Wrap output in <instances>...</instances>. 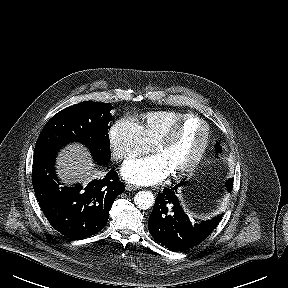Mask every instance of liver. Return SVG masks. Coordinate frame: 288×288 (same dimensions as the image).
<instances>
[{
  "label": "liver",
  "instance_id": "liver-1",
  "mask_svg": "<svg viewBox=\"0 0 288 288\" xmlns=\"http://www.w3.org/2000/svg\"><path fill=\"white\" fill-rule=\"evenodd\" d=\"M57 174L62 182L86 185L96 176L90 153L80 144L66 146L56 158Z\"/></svg>",
  "mask_w": 288,
  "mask_h": 288
}]
</instances>
